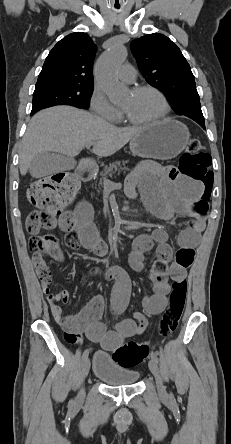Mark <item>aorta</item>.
<instances>
[{
  "mask_svg": "<svg viewBox=\"0 0 231 444\" xmlns=\"http://www.w3.org/2000/svg\"><path fill=\"white\" fill-rule=\"evenodd\" d=\"M126 47L116 44L106 51L96 63V75L98 83L105 91L110 101H118L124 97L127 88L120 84L116 76V70L125 61Z\"/></svg>",
  "mask_w": 231,
  "mask_h": 444,
  "instance_id": "aorta-1",
  "label": "aorta"
}]
</instances>
